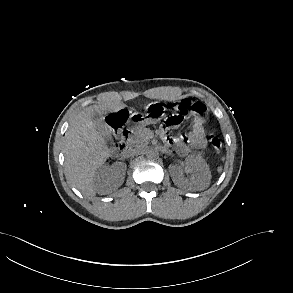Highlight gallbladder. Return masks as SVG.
Segmentation results:
<instances>
[{
    "label": "gallbladder",
    "mask_w": 293,
    "mask_h": 293,
    "mask_svg": "<svg viewBox=\"0 0 293 293\" xmlns=\"http://www.w3.org/2000/svg\"><path fill=\"white\" fill-rule=\"evenodd\" d=\"M103 114L101 112H94L93 124L95 129L102 135L105 140L112 139V130L110 126L104 122Z\"/></svg>",
    "instance_id": "obj_1"
}]
</instances>
